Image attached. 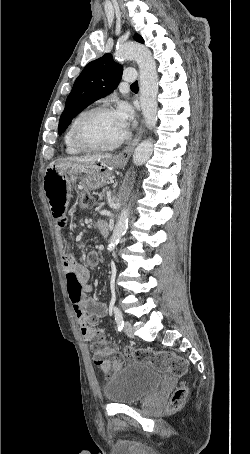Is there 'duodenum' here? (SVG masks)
Returning <instances> with one entry per match:
<instances>
[{"instance_id":"410a0bca","label":"duodenum","mask_w":250,"mask_h":454,"mask_svg":"<svg viewBox=\"0 0 250 454\" xmlns=\"http://www.w3.org/2000/svg\"><path fill=\"white\" fill-rule=\"evenodd\" d=\"M100 223H103V222H100ZM99 224V223H98ZM104 224V223H103ZM98 229L100 230V232L102 233V235L104 236H107L108 235V232H109V229H108V226H106L104 224V226L102 228L98 227Z\"/></svg>"}]
</instances>
